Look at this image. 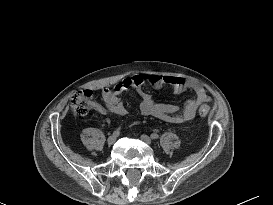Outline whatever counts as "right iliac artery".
I'll return each mask as SVG.
<instances>
[{"instance_id": "1", "label": "right iliac artery", "mask_w": 273, "mask_h": 205, "mask_svg": "<svg viewBox=\"0 0 273 205\" xmlns=\"http://www.w3.org/2000/svg\"><path fill=\"white\" fill-rule=\"evenodd\" d=\"M119 134H120V129H117V130H115V131L113 132V135L118 136Z\"/></svg>"}]
</instances>
